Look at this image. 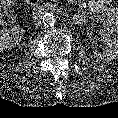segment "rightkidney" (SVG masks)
Instances as JSON below:
<instances>
[{"instance_id":"1","label":"right kidney","mask_w":118,"mask_h":118,"mask_svg":"<svg viewBox=\"0 0 118 118\" xmlns=\"http://www.w3.org/2000/svg\"><path fill=\"white\" fill-rule=\"evenodd\" d=\"M24 30L17 26L0 31V51L11 49L23 37Z\"/></svg>"}]
</instances>
